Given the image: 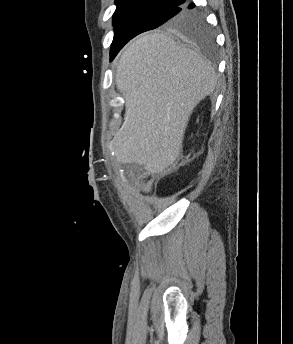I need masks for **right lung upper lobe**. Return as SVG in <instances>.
Masks as SVG:
<instances>
[{
    "mask_svg": "<svg viewBox=\"0 0 293 344\" xmlns=\"http://www.w3.org/2000/svg\"><path fill=\"white\" fill-rule=\"evenodd\" d=\"M185 0H116L115 3H130V2H141V3H146V2H158V3H166V4H172V5H181L184 3ZM166 28H169L168 25H164ZM170 29V28H169Z\"/></svg>",
    "mask_w": 293,
    "mask_h": 344,
    "instance_id": "right-lung-upper-lobe-1",
    "label": "right lung upper lobe"
}]
</instances>
